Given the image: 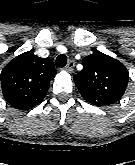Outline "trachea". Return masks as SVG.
<instances>
[{"label":"trachea","mask_w":135,"mask_h":165,"mask_svg":"<svg viewBox=\"0 0 135 165\" xmlns=\"http://www.w3.org/2000/svg\"><path fill=\"white\" fill-rule=\"evenodd\" d=\"M67 63V56L64 55V54H60L57 58H56V61H55V65L57 67H64Z\"/></svg>","instance_id":"1"}]
</instances>
